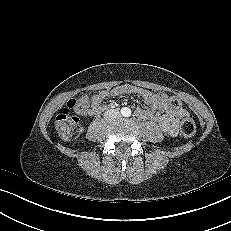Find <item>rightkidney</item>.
<instances>
[{
  "label": "right kidney",
  "instance_id": "ca27d5eb",
  "mask_svg": "<svg viewBox=\"0 0 231 231\" xmlns=\"http://www.w3.org/2000/svg\"><path fill=\"white\" fill-rule=\"evenodd\" d=\"M83 131H84V127H80V128L78 129L77 132H78L79 134H81V133H83Z\"/></svg>",
  "mask_w": 231,
  "mask_h": 231
}]
</instances>
